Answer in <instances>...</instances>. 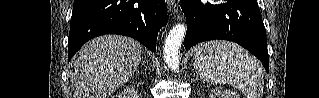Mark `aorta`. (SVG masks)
Listing matches in <instances>:
<instances>
[{
  "label": "aorta",
  "mask_w": 319,
  "mask_h": 98,
  "mask_svg": "<svg viewBox=\"0 0 319 98\" xmlns=\"http://www.w3.org/2000/svg\"><path fill=\"white\" fill-rule=\"evenodd\" d=\"M185 33L186 26L184 24H177L170 30L166 38L164 45V59L168 68L172 71L179 69L180 59L178 52Z\"/></svg>",
  "instance_id": "obj_1"
}]
</instances>
